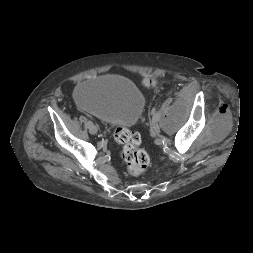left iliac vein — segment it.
<instances>
[{
  "label": "left iliac vein",
  "instance_id": "4c4485c4",
  "mask_svg": "<svg viewBox=\"0 0 253 253\" xmlns=\"http://www.w3.org/2000/svg\"><path fill=\"white\" fill-rule=\"evenodd\" d=\"M160 131H161L160 126L158 124H154L152 134L153 135L158 134V133H160Z\"/></svg>",
  "mask_w": 253,
  "mask_h": 253
}]
</instances>
